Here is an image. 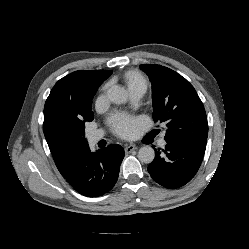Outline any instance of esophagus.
Masks as SVG:
<instances>
[{"mask_svg": "<svg viewBox=\"0 0 249 249\" xmlns=\"http://www.w3.org/2000/svg\"><path fill=\"white\" fill-rule=\"evenodd\" d=\"M135 149H137V147L135 145H133V144L126 145L125 148H124L126 154L132 152Z\"/></svg>", "mask_w": 249, "mask_h": 249, "instance_id": "esophagus-1", "label": "esophagus"}]
</instances>
